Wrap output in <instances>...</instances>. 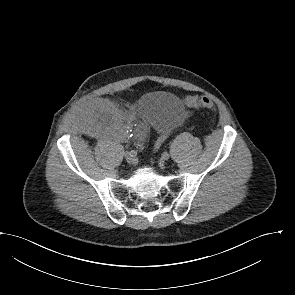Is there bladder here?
<instances>
[{
	"label": "bladder",
	"instance_id": "obj_1",
	"mask_svg": "<svg viewBox=\"0 0 295 295\" xmlns=\"http://www.w3.org/2000/svg\"><path fill=\"white\" fill-rule=\"evenodd\" d=\"M184 104L174 95L164 91L144 94L138 103V113L147 118L157 131L168 132L182 123Z\"/></svg>",
	"mask_w": 295,
	"mask_h": 295
}]
</instances>
